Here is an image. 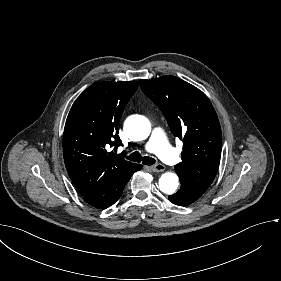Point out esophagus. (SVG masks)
Listing matches in <instances>:
<instances>
[{"mask_svg":"<svg viewBox=\"0 0 281 281\" xmlns=\"http://www.w3.org/2000/svg\"><path fill=\"white\" fill-rule=\"evenodd\" d=\"M154 172H163L165 170V166L163 164H156L152 167Z\"/></svg>","mask_w":281,"mask_h":281,"instance_id":"obj_1","label":"esophagus"}]
</instances>
